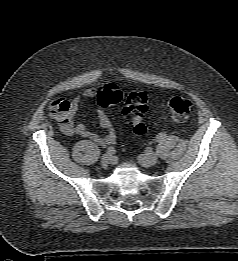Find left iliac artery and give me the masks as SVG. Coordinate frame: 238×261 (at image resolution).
Segmentation results:
<instances>
[{
	"mask_svg": "<svg viewBox=\"0 0 238 261\" xmlns=\"http://www.w3.org/2000/svg\"><path fill=\"white\" fill-rule=\"evenodd\" d=\"M167 137V134L166 133H159L156 137V141L157 142H161L163 141L165 138Z\"/></svg>",
	"mask_w": 238,
	"mask_h": 261,
	"instance_id": "1",
	"label": "left iliac artery"
}]
</instances>
